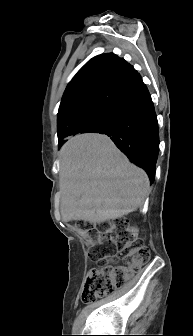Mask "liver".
Wrapping results in <instances>:
<instances>
[{
  "label": "liver",
  "instance_id": "6515ba94",
  "mask_svg": "<svg viewBox=\"0 0 193 336\" xmlns=\"http://www.w3.org/2000/svg\"><path fill=\"white\" fill-rule=\"evenodd\" d=\"M59 158L64 222L83 220L96 225L144 204L149 191L147 174L108 136L87 133L70 138Z\"/></svg>",
  "mask_w": 193,
  "mask_h": 336
}]
</instances>
